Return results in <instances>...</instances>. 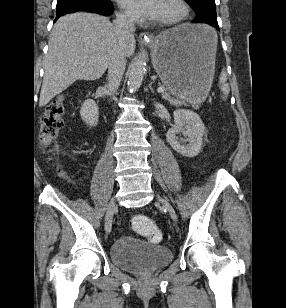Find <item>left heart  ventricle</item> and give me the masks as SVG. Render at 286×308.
I'll list each match as a JSON object with an SVG mask.
<instances>
[{
  "mask_svg": "<svg viewBox=\"0 0 286 308\" xmlns=\"http://www.w3.org/2000/svg\"><path fill=\"white\" fill-rule=\"evenodd\" d=\"M179 10L170 0H162L158 19H167L178 15Z\"/></svg>",
  "mask_w": 286,
  "mask_h": 308,
  "instance_id": "obj_1",
  "label": "left heart ventricle"
}]
</instances>
